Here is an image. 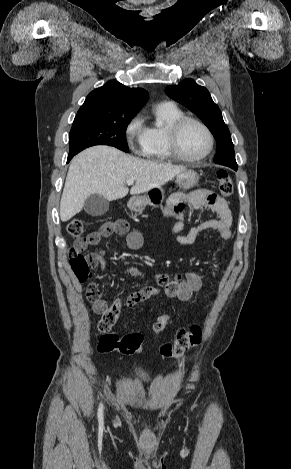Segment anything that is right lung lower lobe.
I'll return each mask as SVG.
<instances>
[{
    "label": "right lung lower lobe",
    "instance_id": "obj_1",
    "mask_svg": "<svg viewBox=\"0 0 291 469\" xmlns=\"http://www.w3.org/2000/svg\"><path fill=\"white\" fill-rule=\"evenodd\" d=\"M73 156H74V155H69V156H68L67 163L72 159Z\"/></svg>",
    "mask_w": 291,
    "mask_h": 469
}]
</instances>
